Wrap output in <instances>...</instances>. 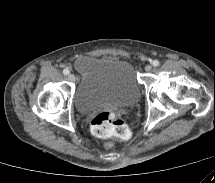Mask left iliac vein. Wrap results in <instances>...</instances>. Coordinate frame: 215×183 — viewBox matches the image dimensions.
Segmentation results:
<instances>
[{"label": "left iliac vein", "mask_w": 215, "mask_h": 183, "mask_svg": "<svg viewBox=\"0 0 215 183\" xmlns=\"http://www.w3.org/2000/svg\"><path fill=\"white\" fill-rule=\"evenodd\" d=\"M151 70H152V66L151 65L148 64V65L145 66V71L146 72H150Z\"/></svg>", "instance_id": "1"}]
</instances>
